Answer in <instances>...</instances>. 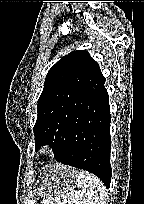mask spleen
I'll list each match as a JSON object with an SVG mask.
<instances>
[{"instance_id": "3e777b00", "label": "spleen", "mask_w": 144, "mask_h": 204, "mask_svg": "<svg viewBox=\"0 0 144 204\" xmlns=\"http://www.w3.org/2000/svg\"><path fill=\"white\" fill-rule=\"evenodd\" d=\"M77 187L45 200L44 204H104L105 186L95 175L81 171Z\"/></svg>"}]
</instances>
